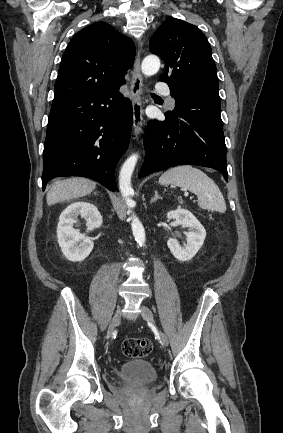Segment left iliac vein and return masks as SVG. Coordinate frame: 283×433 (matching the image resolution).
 I'll return each mask as SVG.
<instances>
[{
    "label": "left iliac vein",
    "mask_w": 283,
    "mask_h": 433,
    "mask_svg": "<svg viewBox=\"0 0 283 433\" xmlns=\"http://www.w3.org/2000/svg\"><path fill=\"white\" fill-rule=\"evenodd\" d=\"M141 315L147 322L153 323L154 319L152 311L145 305L141 306ZM159 338L162 346L167 347L169 345V339L165 333L160 331Z\"/></svg>",
    "instance_id": "left-iliac-vein-1"
}]
</instances>
